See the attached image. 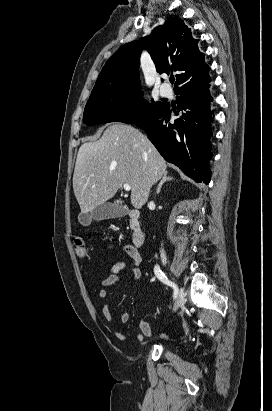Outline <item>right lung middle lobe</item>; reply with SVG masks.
Instances as JSON below:
<instances>
[{
    "label": "right lung middle lobe",
    "mask_w": 272,
    "mask_h": 411,
    "mask_svg": "<svg viewBox=\"0 0 272 411\" xmlns=\"http://www.w3.org/2000/svg\"><path fill=\"white\" fill-rule=\"evenodd\" d=\"M140 85L119 84L93 90L83 114V122L95 125L108 122L136 123L155 114L162 102L141 100Z\"/></svg>",
    "instance_id": "1"
}]
</instances>
